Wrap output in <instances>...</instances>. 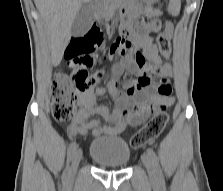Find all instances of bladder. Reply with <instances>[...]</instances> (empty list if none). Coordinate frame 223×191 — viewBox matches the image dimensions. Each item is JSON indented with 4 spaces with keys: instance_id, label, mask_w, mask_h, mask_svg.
I'll list each match as a JSON object with an SVG mask.
<instances>
[{
    "instance_id": "1",
    "label": "bladder",
    "mask_w": 223,
    "mask_h": 191,
    "mask_svg": "<svg viewBox=\"0 0 223 191\" xmlns=\"http://www.w3.org/2000/svg\"><path fill=\"white\" fill-rule=\"evenodd\" d=\"M90 158L99 166L123 168L130 161L131 151L122 137H100L91 143Z\"/></svg>"
}]
</instances>
